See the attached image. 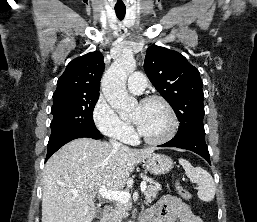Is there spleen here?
Wrapping results in <instances>:
<instances>
[{
	"label": "spleen",
	"instance_id": "spleen-1",
	"mask_svg": "<svg viewBox=\"0 0 257 222\" xmlns=\"http://www.w3.org/2000/svg\"><path fill=\"white\" fill-rule=\"evenodd\" d=\"M187 177L198 185V197L205 202L212 201L215 196L216 186L209 172L201 167H193L185 159H179Z\"/></svg>",
	"mask_w": 257,
	"mask_h": 222
}]
</instances>
